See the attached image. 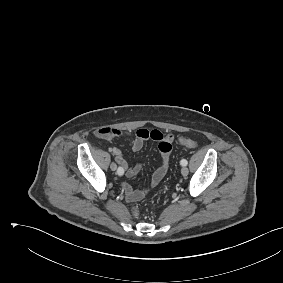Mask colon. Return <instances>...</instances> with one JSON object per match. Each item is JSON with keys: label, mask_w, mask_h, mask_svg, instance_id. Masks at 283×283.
Listing matches in <instances>:
<instances>
[{"label": "colon", "mask_w": 283, "mask_h": 283, "mask_svg": "<svg viewBox=\"0 0 283 283\" xmlns=\"http://www.w3.org/2000/svg\"><path fill=\"white\" fill-rule=\"evenodd\" d=\"M178 141L181 145H183L187 148H190V149H194L198 145L195 140H192V139H189V138H186V137H182V136L178 138ZM131 213L134 216H137L138 213H139L138 208L136 206H132L131 207Z\"/></svg>", "instance_id": "obj_1"}]
</instances>
